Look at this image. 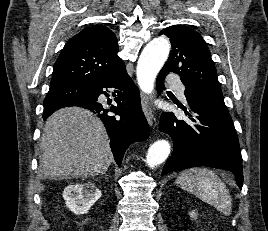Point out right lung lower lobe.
I'll list each match as a JSON object with an SVG mask.
<instances>
[{
    "label": "right lung lower lobe",
    "instance_id": "obj_1",
    "mask_svg": "<svg viewBox=\"0 0 268 231\" xmlns=\"http://www.w3.org/2000/svg\"><path fill=\"white\" fill-rule=\"evenodd\" d=\"M88 88L90 93L85 98L44 108L43 118L45 120L54 111L66 106H80L92 111L104 123L115 161L120 166L125 149L131 143L149 137V126L141 109L139 91L128 76L125 64ZM103 88H114L117 93L116 105L108 106L110 103L107 105L98 101L100 94L108 95Z\"/></svg>",
    "mask_w": 268,
    "mask_h": 231
}]
</instances>
